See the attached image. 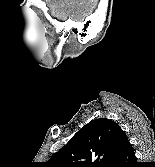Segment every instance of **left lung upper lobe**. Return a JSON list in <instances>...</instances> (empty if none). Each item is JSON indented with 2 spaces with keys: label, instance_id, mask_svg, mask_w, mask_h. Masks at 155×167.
Instances as JSON below:
<instances>
[{
  "label": "left lung upper lobe",
  "instance_id": "left-lung-upper-lobe-1",
  "mask_svg": "<svg viewBox=\"0 0 155 167\" xmlns=\"http://www.w3.org/2000/svg\"><path fill=\"white\" fill-rule=\"evenodd\" d=\"M127 138L120 126L106 118L82 127L49 161L53 167H111Z\"/></svg>",
  "mask_w": 155,
  "mask_h": 167
}]
</instances>
